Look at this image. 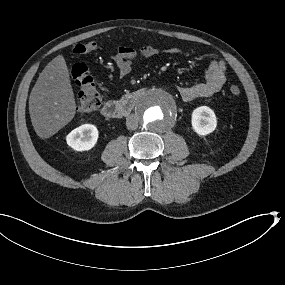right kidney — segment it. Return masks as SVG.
<instances>
[{"label":"right kidney","mask_w":285,"mask_h":285,"mask_svg":"<svg viewBox=\"0 0 285 285\" xmlns=\"http://www.w3.org/2000/svg\"><path fill=\"white\" fill-rule=\"evenodd\" d=\"M99 131L93 124H83L73 129L66 137V143L77 152L89 151L97 144Z\"/></svg>","instance_id":"right-kidney-1"}]
</instances>
